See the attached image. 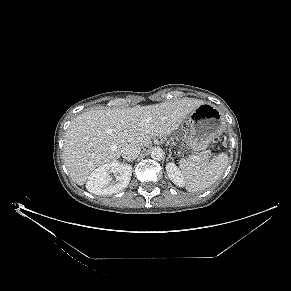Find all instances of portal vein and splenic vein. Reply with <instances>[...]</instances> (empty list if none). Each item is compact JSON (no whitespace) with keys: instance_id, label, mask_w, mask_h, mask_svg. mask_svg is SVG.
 <instances>
[{"instance_id":"18ae733b","label":"portal vein and splenic vein","mask_w":291,"mask_h":291,"mask_svg":"<svg viewBox=\"0 0 291 291\" xmlns=\"http://www.w3.org/2000/svg\"><path fill=\"white\" fill-rule=\"evenodd\" d=\"M190 159L193 160V161H196V162H198L200 160L199 157L194 156V155L193 156H190Z\"/></svg>"}]
</instances>
